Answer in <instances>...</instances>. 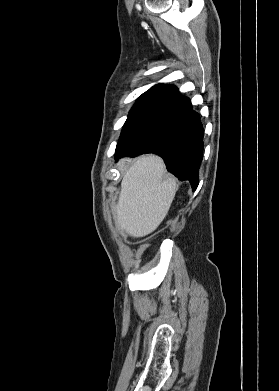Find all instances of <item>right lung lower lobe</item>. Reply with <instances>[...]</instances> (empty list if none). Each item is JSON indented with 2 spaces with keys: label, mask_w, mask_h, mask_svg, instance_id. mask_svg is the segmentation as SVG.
<instances>
[{
  "label": "right lung lower lobe",
  "mask_w": 279,
  "mask_h": 391,
  "mask_svg": "<svg viewBox=\"0 0 279 391\" xmlns=\"http://www.w3.org/2000/svg\"><path fill=\"white\" fill-rule=\"evenodd\" d=\"M204 129L189 98L182 97L161 110L152 123L126 145L116 149L115 158L145 153L159 154L168 171L180 180L198 186L203 157Z\"/></svg>",
  "instance_id": "1"
}]
</instances>
